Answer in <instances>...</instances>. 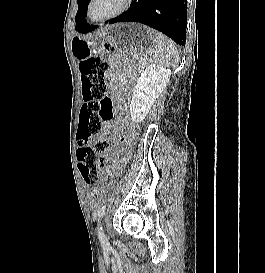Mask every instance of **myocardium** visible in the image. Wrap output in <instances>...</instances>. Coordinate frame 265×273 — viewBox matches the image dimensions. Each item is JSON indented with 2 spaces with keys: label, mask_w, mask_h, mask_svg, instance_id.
<instances>
[{
  "label": "myocardium",
  "mask_w": 265,
  "mask_h": 273,
  "mask_svg": "<svg viewBox=\"0 0 265 273\" xmlns=\"http://www.w3.org/2000/svg\"><path fill=\"white\" fill-rule=\"evenodd\" d=\"M93 2H94V0H89V2H88L87 10H86L87 16L92 22L100 23V22H106V21L112 20V19L122 15L123 13H125L131 7L133 0H123L122 5L117 10H115L113 13H111L107 16L101 17V18H94L92 16L91 8H92Z\"/></svg>",
  "instance_id": "1"
}]
</instances>
